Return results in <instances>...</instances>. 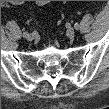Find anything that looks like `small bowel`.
Returning <instances> with one entry per match:
<instances>
[{
    "label": "small bowel",
    "instance_id": "obj_1",
    "mask_svg": "<svg viewBox=\"0 0 109 109\" xmlns=\"http://www.w3.org/2000/svg\"><path fill=\"white\" fill-rule=\"evenodd\" d=\"M36 3H37V5H39V6H43V5L46 4V1H37Z\"/></svg>",
    "mask_w": 109,
    "mask_h": 109
}]
</instances>
